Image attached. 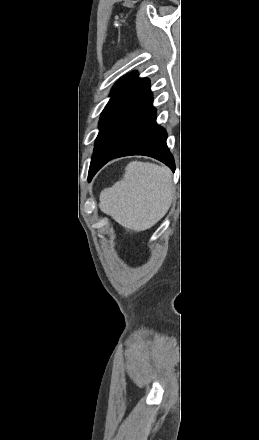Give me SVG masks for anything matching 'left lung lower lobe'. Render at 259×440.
I'll use <instances>...</instances> for the list:
<instances>
[{
    "label": "left lung lower lobe",
    "mask_w": 259,
    "mask_h": 440,
    "mask_svg": "<svg viewBox=\"0 0 259 440\" xmlns=\"http://www.w3.org/2000/svg\"><path fill=\"white\" fill-rule=\"evenodd\" d=\"M167 133L156 123L150 86L118 125L100 153L89 178L113 158L146 155L160 160L175 170L172 154L166 144Z\"/></svg>",
    "instance_id": "0a47b994"
}]
</instances>
